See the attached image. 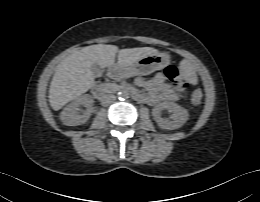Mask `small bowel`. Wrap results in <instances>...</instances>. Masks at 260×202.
<instances>
[{
	"instance_id": "obj_1",
	"label": "small bowel",
	"mask_w": 260,
	"mask_h": 202,
	"mask_svg": "<svg viewBox=\"0 0 260 202\" xmlns=\"http://www.w3.org/2000/svg\"><path fill=\"white\" fill-rule=\"evenodd\" d=\"M136 84L148 91L147 95L138 92L137 98L145 101L149 105H156L165 101H177L178 95L165 82L162 73H157L152 79L145 80L141 77L136 79Z\"/></svg>"
}]
</instances>
